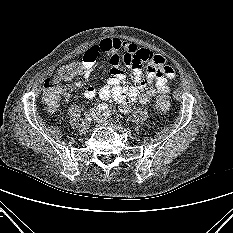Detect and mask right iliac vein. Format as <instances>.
<instances>
[{
    "mask_svg": "<svg viewBox=\"0 0 233 233\" xmlns=\"http://www.w3.org/2000/svg\"><path fill=\"white\" fill-rule=\"evenodd\" d=\"M97 110L95 108H92L89 113L85 116V118L82 120V123L80 125V128H79V131L81 134H85L89 127H90V124H91V118L96 115Z\"/></svg>",
    "mask_w": 233,
    "mask_h": 233,
    "instance_id": "obj_1",
    "label": "right iliac vein"
}]
</instances>
